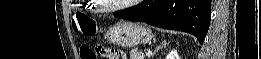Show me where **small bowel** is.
<instances>
[{"label":"small bowel","mask_w":261,"mask_h":59,"mask_svg":"<svg viewBox=\"0 0 261 59\" xmlns=\"http://www.w3.org/2000/svg\"><path fill=\"white\" fill-rule=\"evenodd\" d=\"M112 51L117 53L116 59H125L126 58L125 55L121 51H119V50H112Z\"/></svg>","instance_id":"1"}]
</instances>
